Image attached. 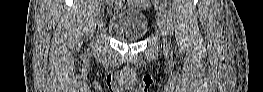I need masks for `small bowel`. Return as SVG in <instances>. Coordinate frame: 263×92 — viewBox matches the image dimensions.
Listing matches in <instances>:
<instances>
[{
  "label": "small bowel",
  "mask_w": 263,
  "mask_h": 92,
  "mask_svg": "<svg viewBox=\"0 0 263 92\" xmlns=\"http://www.w3.org/2000/svg\"><path fill=\"white\" fill-rule=\"evenodd\" d=\"M136 4H138L140 7H143L144 5L147 4L148 1H142V0H137L134 1Z\"/></svg>",
  "instance_id": "obj_1"
}]
</instances>
